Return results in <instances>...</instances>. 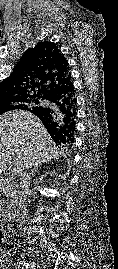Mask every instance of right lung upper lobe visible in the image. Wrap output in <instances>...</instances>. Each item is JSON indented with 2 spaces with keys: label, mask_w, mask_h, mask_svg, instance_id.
Here are the masks:
<instances>
[{
  "label": "right lung upper lobe",
  "mask_w": 118,
  "mask_h": 269,
  "mask_svg": "<svg viewBox=\"0 0 118 269\" xmlns=\"http://www.w3.org/2000/svg\"><path fill=\"white\" fill-rule=\"evenodd\" d=\"M71 84L69 64L61 51L52 42H41L28 48L12 74L0 83V104L32 100L26 110L57 139L59 127L66 130L72 118V97L67 93Z\"/></svg>",
  "instance_id": "right-lung-upper-lobe-1"
}]
</instances>
